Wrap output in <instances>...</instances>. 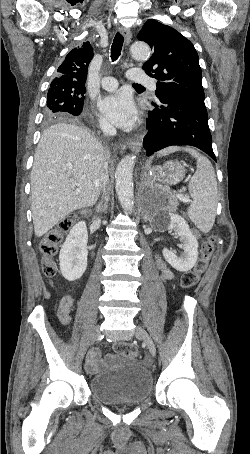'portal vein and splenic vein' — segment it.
<instances>
[{"instance_id":"obj_1","label":"portal vein and splenic vein","mask_w":250,"mask_h":454,"mask_svg":"<svg viewBox=\"0 0 250 454\" xmlns=\"http://www.w3.org/2000/svg\"><path fill=\"white\" fill-rule=\"evenodd\" d=\"M75 192H76V193H79L80 190H79V189H76ZM177 198H178L180 201L184 202V203L190 202V199H189L188 197H186V196H183L182 194H178V195H177Z\"/></svg>"}]
</instances>
